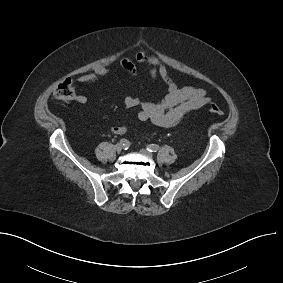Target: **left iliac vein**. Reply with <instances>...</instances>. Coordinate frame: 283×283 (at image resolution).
Returning a JSON list of instances; mask_svg holds the SVG:
<instances>
[{
    "mask_svg": "<svg viewBox=\"0 0 283 283\" xmlns=\"http://www.w3.org/2000/svg\"><path fill=\"white\" fill-rule=\"evenodd\" d=\"M140 152L148 157H152L153 153H151L149 150L147 149H141Z\"/></svg>",
    "mask_w": 283,
    "mask_h": 283,
    "instance_id": "obj_1",
    "label": "left iliac vein"
}]
</instances>
